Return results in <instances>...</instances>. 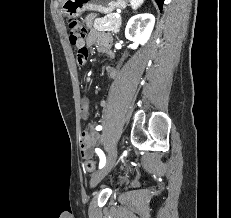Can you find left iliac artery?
I'll list each match as a JSON object with an SVG mask.
<instances>
[{
  "label": "left iliac artery",
  "instance_id": "1",
  "mask_svg": "<svg viewBox=\"0 0 231 218\" xmlns=\"http://www.w3.org/2000/svg\"><path fill=\"white\" fill-rule=\"evenodd\" d=\"M96 130H97V131L102 130V126L98 125V126L96 127ZM95 152L98 154V156H99V158H100L99 169H101V168L104 167V165H105V163H106L105 155H104V153L102 152V150L99 149V148H96V149H95Z\"/></svg>",
  "mask_w": 231,
  "mask_h": 218
}]
</instances>
